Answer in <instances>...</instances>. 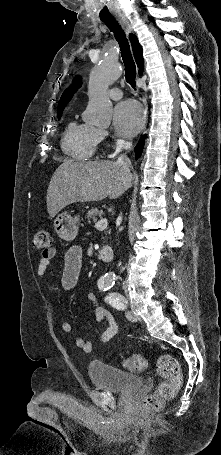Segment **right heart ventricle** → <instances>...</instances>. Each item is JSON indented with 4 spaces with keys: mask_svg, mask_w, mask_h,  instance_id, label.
Listing matches in <instances>:
<instances>
[{
    "mask_svg": "<svg viewBox=\"0 0 221 455\" xmlns=\"http://www.w3.org/2000/svg\"><path fill=\"white\" fill-rule=\"evenodd\" d=\"M98 147L97 129L89 124L71 120L62 137V150L72 159H91Z\"/></svg>",
    "mask_w": 221,
    "mask_h": 455,
    "instance_id": "right-heart-ventricle-1",
    "label": "right heart ventricle"
}]
</instances>
